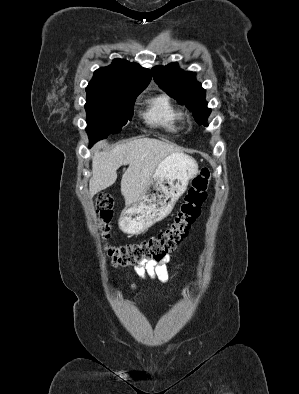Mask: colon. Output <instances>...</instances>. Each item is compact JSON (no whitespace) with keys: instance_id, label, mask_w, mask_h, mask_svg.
<instances>
[{"instance_id":"colon-1","label":"colon","mask_w":299,"mask_h":394,"mask_svg":"<svg viewBox=\"0 0 299 394\" xmlns=\"http://www.w3.org/2000/svg\"><path fill=\"white\" fill-rule=\"evenodd\" d=\"M210 174L209 169L203 168L192 179L179 210L166 228L144 240L122 246L109 243L114 200L108 194L98 195L95 200L97 226L102 249L108 261L114 266H129L148 260L158 261L175 249L186 236L191 223L200 214L201 205L206 199Z\"/></svg>"}]
</instances>
